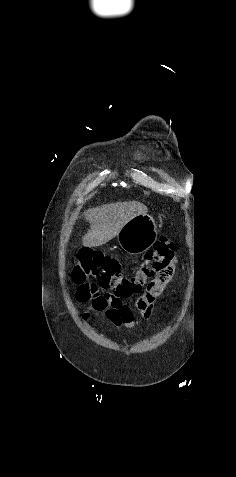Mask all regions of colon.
Returning a JSON list of instances; mask_svg holds the SVG:
<instances>
[{
	"mask_svg": "<svg viewBox=\"0 0 236 477\" xmlns=\"http://www.w3.org/2000/svg\"><path fill=\"white\" fill-rule=\"evenodd\" d=\"M175 249L169 238L157 240L131 277L124 274L117 259L100 251L80 250L71 274L77 300L95 303L100 299L124 311L129 308L124 300L149 291L162 292L173 276Z\"/></svg>",
	"mask_w": 236,
	"mask_h": 477,
	"instance_id": "1",
	"label": "colon"
}]
</instances>
